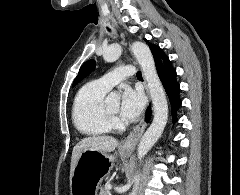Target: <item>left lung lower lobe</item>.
Segmentation results:
<instances>
[{
	"label": "left lung lower lobe",
	"instance_id": "1",
	"mask_svg": "<svg viewBox=\"0 0 240 195\" xmlns=\"http://www.w3.org/2000/svg\"><path fill=\"white\" fill-rule=\"evenodd\" d=\"M156 70L158 76L163 84V87L168 95L171 109L173 122L177 121V110L181 106V100L179 97L180 85L176 80V70L173 68L171 61L168 56H164L161 59L155 61ZM151 118V109L148 107L146 112V121L148 122Z\"/></svg>",
	"mask_w": 240,
	"mask_h": 195
}]
</instances>
